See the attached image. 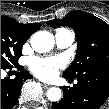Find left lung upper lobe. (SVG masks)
<instances>
[{
	"label": "left lung upper lobe",
	"mask_w": 109,
	"mask_h": 109,
	"mask_svg": "<svg viewBox=\"0 0 109 109\" xmlns=\"http://www.w3.org/2000/svg\"><path fill=\"white\" fill-rule=\"evenodd\" d=\"M47 24L69 26L77 34L75 59L63 75L75 77L92 66L109 67V25L106 22L84 11H71L64 18Z\"/></svg>",
	"instance_id": "obj_1"
}]
</instances>
